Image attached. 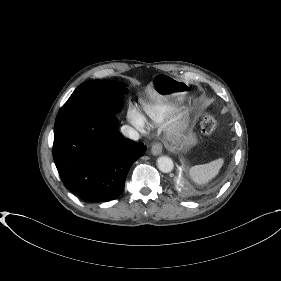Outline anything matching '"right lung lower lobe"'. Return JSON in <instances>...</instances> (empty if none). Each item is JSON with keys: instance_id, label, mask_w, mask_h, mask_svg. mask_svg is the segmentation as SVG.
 Instances as JSON below:
<instances>
[{"instance_id": "98d812e1", "label": "right lung lower lobe", "mask_w": 281, "mask_h": 281, "mask_svg": "<svg viewBox=\"0 0 281 281\" xmlns=\"http://www.w3.org/2000/svg\"><path fill=\"white\" fill-rule=\"evenodd\" d=\"M114 115H78L54 129L53 158L65 187L87 202L117 198L146 146L126 139Z\"/></svg>"}]
</instances>
